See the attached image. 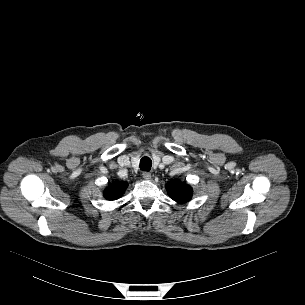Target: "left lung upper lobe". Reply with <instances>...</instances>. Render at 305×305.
Segmentation results:
<instances>
[{
  "label": "left lung upper lobe",
  "mask_w": 305,
  "mask_h": 305,
  "mask_svg": "<svg viewBox=\"0 0 305 305\" xmlns=\"http://www.w3.org/2000/svg\"><path fill=\"white\" fill-rule=\"evenodd\" d=\"M166 189L169 196L178 203H185L192 198V188L179 180L168 182Z\"/></svg>",
  "instance_id": "5c2ea615"
}]
</instances>
